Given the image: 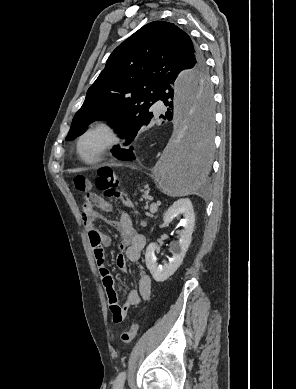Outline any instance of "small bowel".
<instances>
[{
	"instance_id": "c3829d8e",
	"label": "small bowel",
	"mask_w": 296,
	"mask_h": 389,
	"mask_svg": "<svg viewBox=\"0 0 296 389\" xmlns=\"http://www.w3.org/2000/svg\"><path fill=\"white\" fill-rule=\"evenodd\" d=\"M111 209L110 202L95 193H87L84 195L81 205V219L87 231L102 283L108 297L112 317L115 312L119 311L124 319L132 306H138L149 299L152 286L151 278L140 264L141 253L146 245V240L143 235L137 233L130 216L126 212H122L119 220L111 222L121 237L119 249L122 253L116 257V264L120 269L124 270L128 261L134 263L138 269V286L129 291L124 303L121 304L119 302L114 280L110 270L106 266L104 255L105 248L111 244V237L100 232L95 227V220L99 213L109 212Z\"/></svg>"
}]
</instances>
